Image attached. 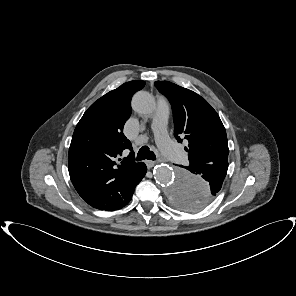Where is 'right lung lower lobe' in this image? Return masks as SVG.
Segmentation results:
<instances>
[{"instance_id": "obj_1", "label": "right lung lower lobe", "mask_w": 296, "mask_h": 296, "mask_svg": "<svg viewBox=\"0 0 296 296\" xmlns=\"http://www.w3.org/2000/svg\"><path fill=\"white\" fill-rule=\"evenodd\" d=\"M147 171V167L143 162H140L139 165L136 167L133 176H132V186H133V192L135 189V186L142 180V178L145 176Z\"/></svg>"}]
</instances>
